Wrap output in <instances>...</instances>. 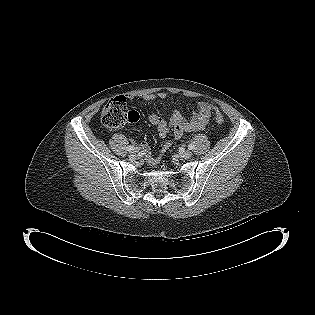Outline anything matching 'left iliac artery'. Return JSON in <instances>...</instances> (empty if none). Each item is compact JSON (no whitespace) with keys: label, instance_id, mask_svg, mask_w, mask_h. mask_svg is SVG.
<instances>
[{"label":"left iliac artery","instance_id":"44dca946","mask_svg":"<svg viewBox=\"0 0 315 315\" xmlns=\"http://www.w3.org/2000/svg\"><path fill=\"white\" fill-rule=\"evenodd\" d=\"M188 148H189L190 150H192V149L194 148V145H193V144H189V145H188Z\"/></svg>","mask_w":315,"mask_h":315}]
</instances>
